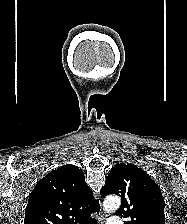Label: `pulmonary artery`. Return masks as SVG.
<instances>
[{
  "instance_id": "1",
  "label": "pulmonary artery",
  "mask_w": 187,
  "mask_h": 224,
  "mask_svg": "<svg viewBox=\"0 0 187 224\" xmlns=\"http://www.w3.org/2000/svg\"><path fill=\"white\" fill-rule=\"evenodd\" d=\"M109 224H124L123 220L119 219V218H113Z\"/></svg>"
}]
</instances>
